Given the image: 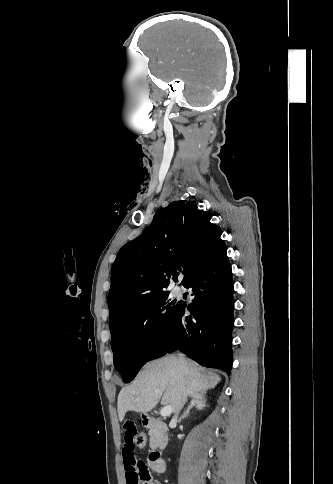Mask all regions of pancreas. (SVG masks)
<instances>
[{
	"mask_svg": "<svg viewBox=\"0 0 333 484\" xmlns=\"http://www.w3.org/2000/svg\"><path fill=\"white\" fill-rule=\"evenodd\" d=\"M150 448L154 449L166 442V436L161 429L152 428L149 430Z\"/></svg>",
	"mask_w": 333,
	"mask_h": 484,
	"instance_id": "1",
	"label": "pancreas"
}]
</instances>
